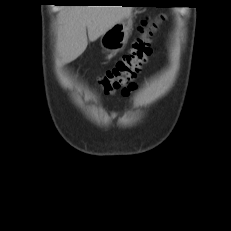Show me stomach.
Listing matches in <instances>:
<instances>
[{
	"instance_id": "stomach-1",
	"label": "stomach",
	"mask_w": 231,
	"mask_h": 231,
	"mask_svg": "<svg viewBox=\"0 0 231 231\" xmlns=\"http://www.w3.org/2000/svg\"><path fill=\"white\" fill-rule=\"evenodd\" d=\"M132 19L129 16L108 29L100 38L101 47L110 53L121 50L131 33Z\"/></svg>"
}]
</instances>
